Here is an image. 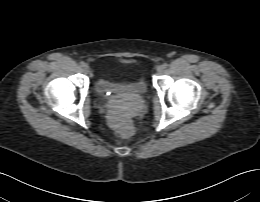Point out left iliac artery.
I'll list each match as a JSON object with an SVG mask.
<instances>
[{"mask_svg":"<svg viewBox=\"0 0 260 202\" xmlns=\"http://www.w3.org/2000/svg\"><path fill=\"white\" fill-rule=\"evenodd\" d=\"M162 66H163V67H164V69H165V68H167V67H168V64H167V63H164Z\"/></svg>","mask_w":260,"mask_h":202,"instance_id":"obj_1","label":"left iliac artery"}]
</instances>
